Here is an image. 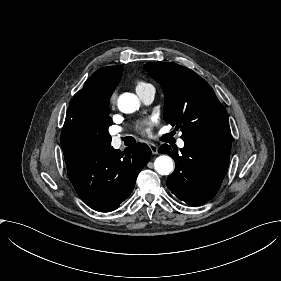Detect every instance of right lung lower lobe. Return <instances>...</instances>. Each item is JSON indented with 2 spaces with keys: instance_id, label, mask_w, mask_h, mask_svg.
<instances>
[{
  "instance_id": "98d812e1",
  "label": "right lung lower lobe",
  "mask_w": 281,
  "mask_h": 281,
  "mask_svg": "<svg viewBox=\"0 0 281 281\" xmlns=\"http://www.w3.org/2000/svg\"><path fill=\"white\" fill-rule=\"evenodd\" d=\"M108 115L100 120L84 114L65 121L61 146L69 178L81 199L92 209L110 212L132 192L136 178L148 163L151 150L137 143L125 152L111 146Z\"/></svg>"
}]
</instances>
